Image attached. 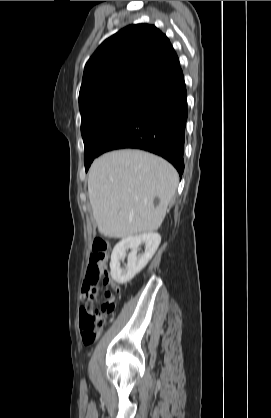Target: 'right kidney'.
I'll list each match as a JSON object with an SVG mask.
<instances>
[{"instance_id":"right-kidney-1","label":"right kidney","mask_w":271,"mask_h":418,"mask_svg":"<svg viewBox=\"0 0 271 418\" xmlns=\"http://www.w3.org/2000/svg\"><path fill=\"white\" fill-rule=\"evenodd\" d=\"M160 242L161 236L158 233H145L123 238L115 245L111 254L110 271L112 279L119 284L129 282L147 265ZM141 244L145 245V250L144 253L138 255ZM127 249L131 250L127 257V265L125 268H121L120 261L125 258Z\"/></svg>"}]
</instances>
